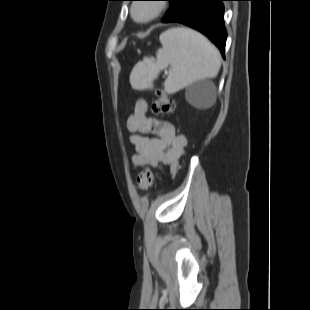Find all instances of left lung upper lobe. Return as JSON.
<instances>
[{
	"label": "left lung upper lobe",
	"mask_w": 310,
	"mask_h": 310,
	"mask_svg": "<svg viewBox=\"0 0 310 310\" xmlns=\"http://www.w3.org/2000/svg\"><path fill=\"white\" fill-rule=\"evenodd\" d=\"M169 1L170 9L167 12L166 17L164 18V22H172V20L179 14L182 10L186 0H166Z\"/></svg>",
	"instance_id": "obj_1"
}]
</instances>
